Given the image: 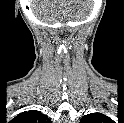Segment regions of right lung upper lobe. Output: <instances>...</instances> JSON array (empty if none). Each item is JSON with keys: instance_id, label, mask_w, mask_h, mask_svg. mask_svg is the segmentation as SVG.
I'll list each match as a JSON object with an SVG mask.
<instances>
[{"instance_id": "1", "label": "right lung upper lobe", "mask_w": 124, "mask_h": 123, "mask_svg": "<svg viewBox=\"0 0 124 123\" xmlns=\"http://www.w3.org/2000/svg\"><path fill=\"white\" fill-rule=\"evenodd\" d=\"M22 123H50L51 120L39 111L31 110L28 112L20 113L15 118Z\"/></svg>"}]
</instances>
